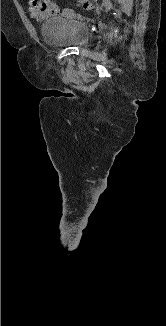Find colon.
Wrapping results in <instances>:
<instances>
[{
    "label": "colon",
    "mask_w": 166,
    "mask_h": 326,
    "mask_svg": "<svg viewBox=\"0 0 166 326\" xmlns=\"http://www.w3.org/2000/svg\"><path fill=\"white\" fill-rule=\"evenodd\" d=\"M79 6L85 10H88L91 8V3L89 0H79Z\"/></svg>",
    "instance_id": "1"
}]
</instances>
